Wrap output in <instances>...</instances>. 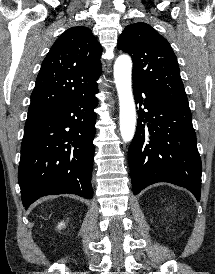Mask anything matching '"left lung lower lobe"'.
<instances>
[{
  "instance_id": "0a47b994",
  "label": "left lung lower lobe",
  "mask_w": 215,
  "mask_h": 274,
  "mask_svg": "<svg viewBox=\"0 0 215 274\" xmlns=\"http://www.w3.org/2000/svg\"><path fill=\"white\" fill-rule=\"evenodd\" d=\"M133 92L140 105L128 151L134 194L153 183L168 182L188 189L199 201L202 165L189 105L137 82Z\"/></svg>"
}]
</instances>
